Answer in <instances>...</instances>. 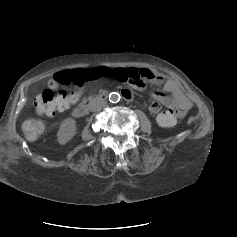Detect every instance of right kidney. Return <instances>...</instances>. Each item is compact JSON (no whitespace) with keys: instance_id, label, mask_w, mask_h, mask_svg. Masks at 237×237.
<instances>
[{"instance_id":"ca27d5eb","label":"right kidney","mask_w":237,"mask_h":237,"mask_svg":"<svg viewBox=\"0 0 237 237\" xmlns=\"http://www.w3.org/2000/svg\"><path fill=\"white\" fill-rule=\"evenodd\" d=\"M76 99L80 96V94L74 95ZM76 133V122L72 118L65 119L62 124L60 125V128L57 132V140L60 145L66 144L69 140L72 139V137Z\"/></svg>"}]
</instances>
